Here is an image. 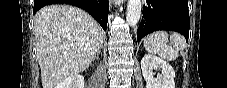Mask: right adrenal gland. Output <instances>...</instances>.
I'll list each match as a JSON object with an SVG mask.
<instances>
[{
  "label": "right adrenal gland",
  "mask_w": 227,
  "mask_h": 88,
  "mask_svg": "<svg viewBox=\"0 0 227 88\" xmlns=\"http://www.w3.org/2000/svg\"><path fill=\"white\" fill-rule=\"evenodd\" d=\"M99 55H100V50L96 53V55L93 57V61L95 60V59H99Z\"/></svg>",
  "instance_id": "obj_1"
}]
</instances>
